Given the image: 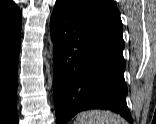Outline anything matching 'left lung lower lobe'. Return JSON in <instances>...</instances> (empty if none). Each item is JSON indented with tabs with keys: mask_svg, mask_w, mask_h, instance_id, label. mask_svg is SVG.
Wrapping results in <instances>:
<instances>
[{
	"mask_svg": "<svg viewBox=\"0 0 156 124\" xmlns=\"http://www.w3.org/2000/svg\"><path fill=\"white\" fill-rule=\"evenodd\" d=\"M54 102L58 124L82 110L103 109L133 123L126 104L124 42L71 16L58 3L51 16Z\"/></svg>",
	"mask_w": 156,
	"mask_h": 124,
	"instance_id": "1",
	"label": "left lung lower lobe"
}]
</instances>
